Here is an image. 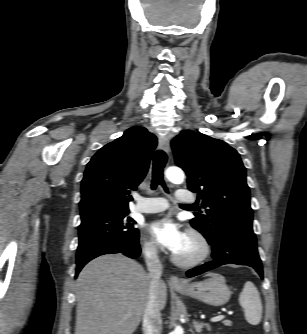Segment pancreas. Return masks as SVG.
Returning a JSON list of instances; mask_svg holds the SVG:
<instances>
[{
	"mask_svg": "<svg viewBox=\"0 0 307 334\" xmlns=\"http://www.w3.org/2000/svg\"><path fill=\"white\" fill-rule=\"evenodd\" d=\"M225 326H231L232 325V322L230 320H224L222 322Z\"/></svg>",
	"mask_w": 307,
	"mask_h": 334,
	"instance_id": "cf45deb5",
	"label": "pancreas"
}]
</instances>
